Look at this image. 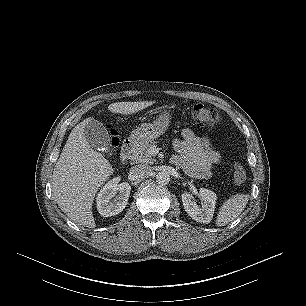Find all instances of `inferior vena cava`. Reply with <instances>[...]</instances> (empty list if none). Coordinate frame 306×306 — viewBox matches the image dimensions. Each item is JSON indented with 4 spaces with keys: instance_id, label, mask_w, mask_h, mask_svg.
I'll use <instances>...</instances> for the list:
<instances>
[{
    "instance_id": "602c4592",
    "label": "inferior vena cava",
    "mask_w": 306,
    "mask_h": 306,
    "mask_svg": "<svg viewBox=\"0 0 306 306\" xmlns=\"http://www.w3.org/2000/svg\"><path fill=\"white\" fill-rule=\"evenodd\" d=\"M151 167L148 165H136L130 169V175L133 178H142L151 173Z\"/></svg>"
}]
</instances>
